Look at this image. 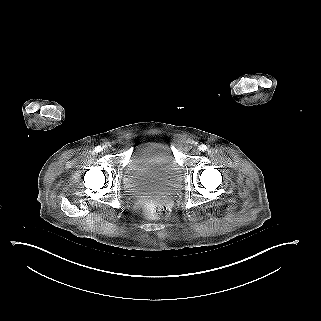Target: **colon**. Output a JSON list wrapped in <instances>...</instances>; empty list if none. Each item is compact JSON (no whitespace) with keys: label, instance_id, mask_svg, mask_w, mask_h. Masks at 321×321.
Here are the masks:
<instances>
[{"label":"colon","instance_id":"colon-1","mask_svg":"<svg viewBox=\"0 0 321 321\" xmlns=\"http://www.w3.org/2000/svg\"><path fill=\"white\" fill-rule=\"evenodd\" d=\"M144 214L149 219L159 220L168 216L169 208L161 202H149L144 206Z\"/></svg>","mask_w":321,"mask_h":321}]
</instances>
